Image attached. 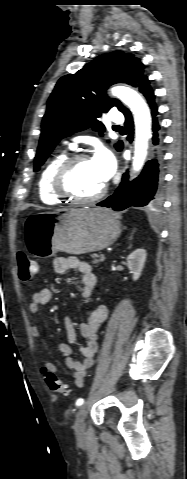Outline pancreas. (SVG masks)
<instances>
[{"label":"pancreas","instance_id":"obj_1","mask_svg":"<svg viewBox=\"0 0 187 479\" xmlns=\"http://www.w3.org/2000/svg\"><path fill=\"white\" fill-rule=\"evenodd\" d=\"M103 261H104V259L101 256H94L92 263L93 264H98V263L103 262Z\"/></svg>","mask_w":187,"mask_h":479}]
</instances>
